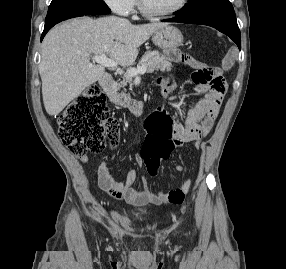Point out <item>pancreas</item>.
<instances>
[{
	"label": "pancreas",
	"mask_w": 286,
	"mask_h": 269,
	"mask_svg": "<svg viewBox=\"0 0 286 269\" xmlns=\"http://www.w3.org/2000/svg\"><path fill=\"white\" fill-rule=\"evenodd\" d=\"M139 66H146L148 73H153L154 71H170L172 64L170 61L165 59L158 52H146L139 61ZM132 76L125 74L123 80L117 84L118 88L124 87L127 83L131 84Z\"/></svg>",
	"instance_id": "cf45deb5"
}]
</instances>
